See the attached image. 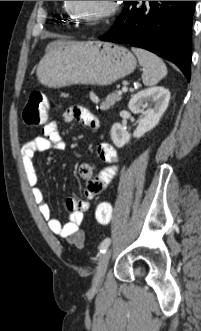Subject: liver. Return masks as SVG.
I'll return each mask as SVG.
<instances>
[{"label":"liver","instance_id":"liver-1","mask_svg":"<svg viewBox=\"0 0 201 331\" xmlns=\"http://www.w3.org/2000/svg\"><path fill=\"white\" fill-rule=\"evenodd\" d=\"M61 42H63V41H55V42H51V43H49L48 46H47V48H46V50H47L50 46H52V45H54V44L61 43Z\"/></svg>","mask_w":201,"mask_h":331}]
</instances>
